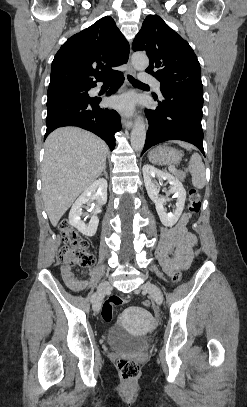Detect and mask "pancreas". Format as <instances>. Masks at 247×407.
Returning <instances> with one entry per match:
<instances>
[{
  "label": "pancreas",
  "instance_id": "cf45deb5",
  "mask_svg": "<svg viewBox=\"0 0 247 407\" xmlns=\"http://www.w3.org/2000/svg\"><path fill=\"white\" fill-rule=\"evenodd\" d=\"M178 179L181 181H184L185 179V174L182 171H173L172 172Z\"/></svg>",
  "mask_w": 247,
  "mask_h": 407
}]
</instances>
